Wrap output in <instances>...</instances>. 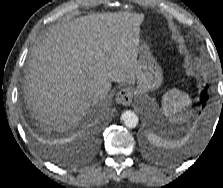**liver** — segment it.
Masks as SVG:
<instances>
[{
    "label": "liver",
    "mask_w": 223,
    "mask_h": 188,
    "mask_svg": "<svg viewBox=\"0 0 223 188\" xmlns=\"http://www.w3.org/2000/svg\"><path fill=\"white\" fill-rule=\"evenodd\" d=\"M143 20V14L130 12L96 13L53 27L32 49L24 70L31 115L64 131L90 111V89L134 83Z\"/></svg>",
    "instance_id": "6515ba94"
}]
</instances>
